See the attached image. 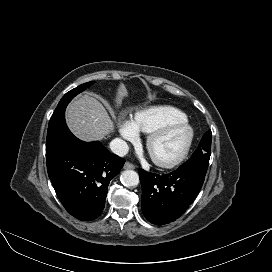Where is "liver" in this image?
<instances>
[{"label": "liver", "instance_id": "liver-1", "mask_svg": "<svg viewBox=\"0 0 272 272\" xmlns=\"http://www.w3.org/2000/svg\"><path fill=\"white\" fill-rule=\"evenodd\" d=\"M66 124L79 139L102 140L114 131V124L103 105L94 97L83 95L66 109Z\"/></svg>", "mask_w": 272, "mask_h": 272}]
</instances>
